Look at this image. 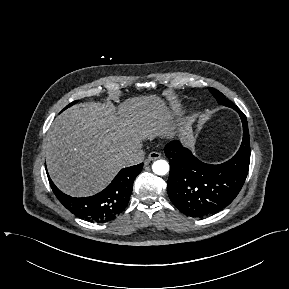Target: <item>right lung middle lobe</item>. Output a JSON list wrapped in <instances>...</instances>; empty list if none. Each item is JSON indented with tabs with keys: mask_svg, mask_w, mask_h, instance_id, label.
Wrapping results in <instances>:
<instances>
[{
	"mask_svg": "<svg viewBox=\"0 0 289 289\" xmlns=\"http://www.w3.org/2000/svg\"><path fill=\"white\" fill-rule=\"evenodd\" d=\"M77 101H74L72 103H70L66 108H68L69 106H72L74 103H76Z\"/></svg>",
	"mask_w": 289,
	"mask_h": 289,
	"instance_id": "obj_1",
	"label": "right lung middle lobe"
}]
</instances>
